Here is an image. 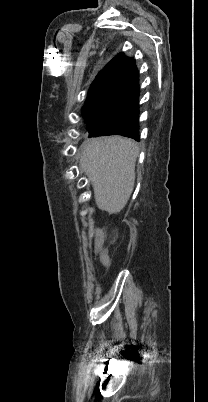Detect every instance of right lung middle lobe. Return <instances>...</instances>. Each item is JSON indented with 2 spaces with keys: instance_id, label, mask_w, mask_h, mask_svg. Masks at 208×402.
<instances>
[{
  "instance_id": "1",
  "label": "right lung middle lobe",
  "mask_w": 208,
  "mask_h": 402,
  "mask_svg": "<svg viewBox=\"0 0 208 402\" xmlns=\"http://www.w3.org/2000/svg\"><path fill=\"white\" fill-rule=\"evenodd\" d=\"M123 102L120 92L109 87L104 91L88 95L83 106V114L86 121L99 117L116 121L120 115Z\"/></svg>"
}]
</instances>
